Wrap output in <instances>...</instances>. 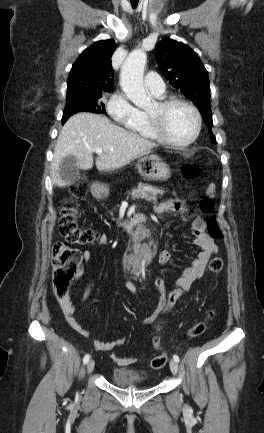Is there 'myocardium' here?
I'll use <instances>...</instances> for the list:
<instances>
[{
  "label": "myocardium",
  "instance_id": "obj_1",
  "mask_svg": "<svg viewBox=\"0 0 264 433\" xmlns=\"http://www.w3.org/2000/svg\"><path fill=\"white\" fill-rule=\"evenodd\" d=\"M175 105H183V106L187 107L193 113L195 120H196V128H195L193 135L187 141H184V142H178V141L173 140L167 134L166 129H165V122H164L165 114H166L168 109H170L172 106H175ZM146 113H147L151 128L154 131V133L157 135L159 140H161L162 142H164L170 146L177 147V148H186V147H189L192 144H194L200 136L201 129H202L201 114H200V112L196 106H194L191 102H189L185 99L178 98V97L160 99V100L155 102L154 110L147 111Z\"/></svg>",
  "mask_w": 264,
  "mask_h": 433
}]
</instances>
